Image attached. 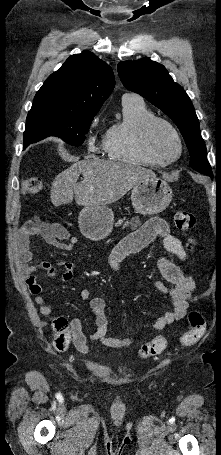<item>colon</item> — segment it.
Masks as SVG:
<instances>
[{
  "label": "colon",
  "instance_id": "5ec220e1",
  "mask_svg": "<svg viewBox=\"0 0 221 455\" xmlns=\"http://www.w3.org/2000/svg\"><path fill=\"white\" fill-rule=\"evenodd\" d=\"M47 183L38 177H26L22 181V192L28 195H35L47 189ZM174 223L177 229L184 233L189 234L195 227V216L191 212L179 211L174 215ZM188 248L193 250V241L190 240ZM188 322L190 329L183 335L182 343L184 345H193L197 343L206 331L205 320L203 316L197 312L192 311L188 315ZM54 329L58 334L55 345L58 350H63L67 345L69 322L64 317H59L54 321ZM167 346V340L164 336L159 335L152 339L150 342L144 344L140 350V355L143 358H151L161 354Z\"/></svg>",
  "mask_w": 221,
  "mask_h": 455
}]
</instances>
